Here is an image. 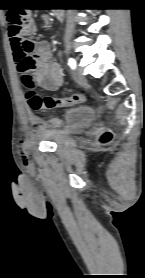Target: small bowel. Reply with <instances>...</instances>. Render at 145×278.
<instances>
[{"mask_svg":"<svg viewBox=\"0 0 145 278\" xmlns=\"http://www.w3.org/2000/svg\"><path fill=\"white\" fill-rule=\"evenodd\" d=\"M44 19L46 20L47 17L44 16ZM34 31L35 24L31 19L27 32L32 34ZM36 49V57H33L31 53H28L18 42L11 38L12 56L17 72L23 79V77L34 73L39 68L41 86L48 91L58 90L63 83V77L59 64L55 61L47 60L49 44L47 42H40L36 45ZM29 120L31 123L38 121L33 114L29 115Z\"/></svg>","mask_w":145,"mask_h":278,"instance_id":"obj_1","label":"small bowel"}]
</instances>
